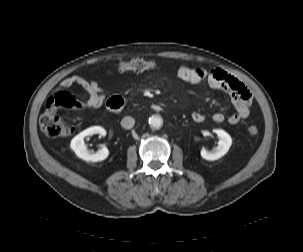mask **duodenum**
<instances>
[{"mask_svg":"<svg viewBox=\"0 0 303 252\" xmlns=\"http://www.w3.org/2000/svg\"><path fill=\"white\" fill-rule=\"evenodd\" d=\"M125 102L122 98H117L114 103L110 106L111 112H121L124 109ZM150 108L154 111H161L163 106L158 103L151 104Z\"/></svg>","mask_w":303,"mask_h":252,"instance_id":"duodenum-1","label":"duodenum"}]
</instances>
